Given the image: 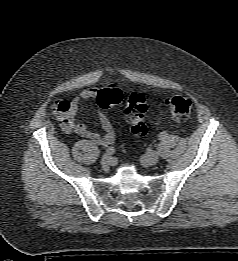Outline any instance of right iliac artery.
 <instances>
[{
    "instance_id": "obj_1",
    "label": "right iliac artery",
    "mask_w": 238,
    "mask_h": 261,
    "mask_svg": "<svg viewBox=\"0 0 238 261\" xmlns=\"http://www.w3.org/2000/svg\"><path fill=\"white\" fill-rule=\"evenodd\" d=\"M106 153L109 154V155H112L115 153V149L113 147H108L106 149Z\"/></svg>"
}]
</instances>
